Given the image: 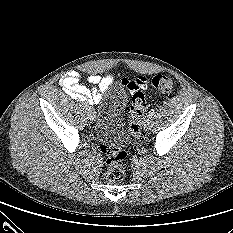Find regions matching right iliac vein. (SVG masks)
I'll return each instance as SVG.
<instances>
[{"instance_id":"obj_1","label":"right iliac vein","mask_w":233,"mask_h":233,"mask_svg":"<svg viewBox=\"0 0 233 233\" xmlns=\"http://www.w3.org/2000/svg\"><path fill=\"white\" fill-rule=\"evenodd\" d=\"M87 115H88V117H89L91 120L94 119V117H95V111H94V109H93L92 107H89V108L87 109Z\"/></svg>"}]
</instances>
